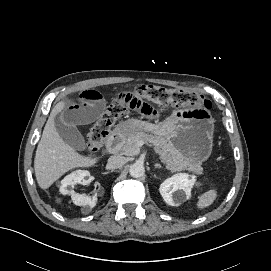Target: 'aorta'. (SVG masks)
Returning a JSON list of instances; mask_svg holds the SVG:
<instances>
[{"mask_svg": "<svg viewBox=\"0 0 271 271\" xmlns=\"http://www.w3.org/2000/svg\"><path fill=\"white\" fill-rule=\"evenodd\" d=\"M129 173L134 178H140L145 174L144 165L140 162L133 163L130 166Z\"/></svg>", "mask_w": 271, "mask_h": 271, "instance_id": "obj_1", "label": "aorta"}]
</instances>
